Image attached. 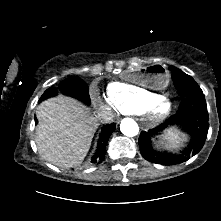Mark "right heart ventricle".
<instances>
[{"instance_id":"1","label":"right heart ventricle","mask_w":221,"mask_h":221,"mask_svg":"<svg viewBox=\"0 0 221 221\" xmlns=\"http://www.w3.org/2000/svg\"><path fill=\"white\" fill-rule=\"evenodd\" d=\"M108 99L121 114H141L157 93L126 82H112L107 88Z\"/></svg>"}]
</instances>
